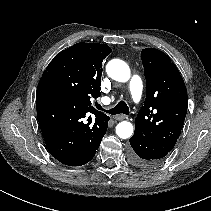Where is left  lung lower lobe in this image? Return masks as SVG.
Listing matches in <instances>:
<instances>
[{
	"label": "left lung lower lobe",
	"instance_id": "obj_1",
	"mask_svg": "<svg viewBox=\"0 0 211 211\" xmlns=\"http://www.w3.org/2000/svg\"><path fill=\"white\" fill-rule=\"evenodd\" d=\"M129 160L139 168L158 166L170 151L135 131L130 138Z\"/></svg>",
	"mask_w": 211,
	"mask_h": 211
}]
</instances>
